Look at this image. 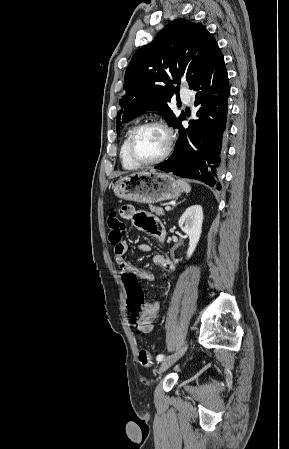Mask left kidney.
I'll return each instance as SVG.
<instances>
[{
	"label": "left kidney",
	"mask_w": 289,
	"mask_h": 449,
	"mask_svg": "<svg viewBox=\"0 0 289 449\" xmlns=\"http://www.w3.org/2000/svg\"><path fill=\"white\" fill-rule=\"evenodd\" d=\"M203 223V210L200 205L190 206L179 219V227L189 237L187 259H189L199 242Z\"/></svg>",
	"instance_id": "left-kidney-1"
}]
</instances>
